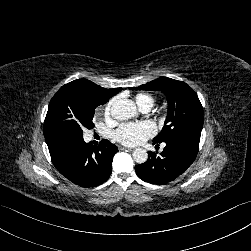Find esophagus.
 Returning <instances> with one entry per match:
<instances>
[{
    "instance_id": "esophagus-1",
    "label": "esophagus",
    "mask_w": 251,
    "mask_h": 251,
    "mask_svg": "<svg viewBox=\"0 0 251 251\" xmlns=\"http://www.w3.org/2000/svg\"><path fill=\"white\" fill-rule=\"evenodd\" d=\"M118 147H119V150H120V151L131 150V148L126 147V146H122V145H119Z\"/></svg>"
}]
</instances>
